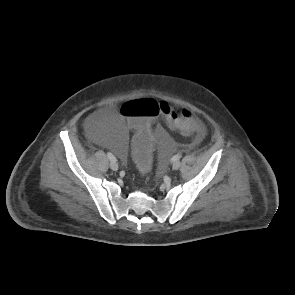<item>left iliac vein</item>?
<instances>
[{"mask_svg": "<svg viewBox=\"0 0 295 295\" xmlns=\"http://www.w3.org/2000/svg\"><path fill=\"white\" fill-rule=\"evenodd\" d=\"M180 165H181V162L179 160L176 162H173L172 164L173 170H177L180 167Z\"/></svg>", "mask_w": 295, "mask_h": 295, "instance_id": "1", "label": "left iliac vein"}]
</instances>
